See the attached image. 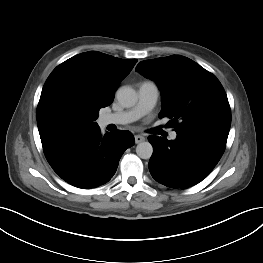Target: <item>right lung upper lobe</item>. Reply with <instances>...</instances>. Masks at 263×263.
<instances>
[{
	"label": "right lung upper lobe",
	"instance_id": "1",
	"mask_svg": "<svg viewBox=\"0 0 263 263\" xmlns=\"http://www.w3.org/2000/svg\"><path fill=\"white\" fill-rule=\"evenodd\" d=\"M136 62V59H120L97 51L78 54L52 71L43 86L38 106L54 89L70 87L82 91L106 107L113 102L119 83Z\"/></svg>",
	"mask_w": 263,
	"mask_h": 263
}]
</instances>
